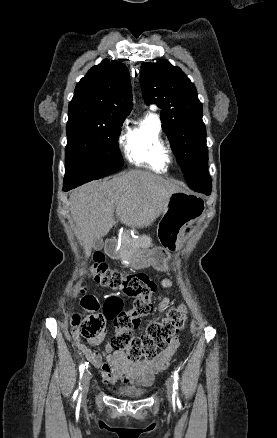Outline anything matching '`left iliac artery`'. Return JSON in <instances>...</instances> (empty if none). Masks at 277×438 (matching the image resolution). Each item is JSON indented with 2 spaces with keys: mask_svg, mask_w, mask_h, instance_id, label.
I'll use <instances>...</instances> for the list:
<instances>
[{
  "mask_svg": "<svg viewBox=\"0 0 277 438\" xmlns=\"http://www.w3.org/2000/svg\"><path fill=\"white\" fill-rule=\"evenodd\" d=\"M173 378H174V384H173L174 397H176L177 400H178V393H177V391H178V379H179V376H178V372L177 371H174Z\"/></svg>",
  "mask_w": 277,
  "mask_h": 438,
  "instance_id": "1",
  "label": "left iliac artery"
}]
</instances>
